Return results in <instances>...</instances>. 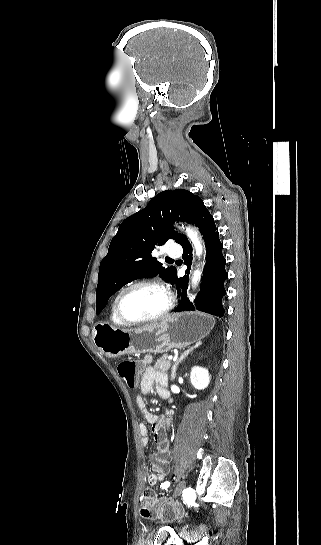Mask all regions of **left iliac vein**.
<instances>
[{
	"mask_svg": "<svg viewBox=\"0 0 321 545\" xmlns=\"http://www.w3.org/2000/svg\"><path fill=\"white\" fill-rule=\"evenodd\" d=\"M186 487V482L184 480L180 481L178 483V485L176 486L175 490H174V494H173V497L176 498L178 497L179 495H181V493L183 492V490L185 489Z\"/></svg>",
	"mask_w": 321,
	"mask_h": 545,
	"instance_id": "left-iliac-vein-1",
	"label": "left iliac vein"
}]
</instances>
